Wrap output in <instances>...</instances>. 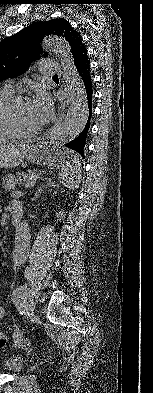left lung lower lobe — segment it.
Wrapping results in <instances>:
<instances>
[{
    "label": "left lung lower lobe",
    "mask_w": 153,
    "mask_h": 393,
    "mask_svg": "<svg viewBox=\"0 0 153 393\" xmlns=\"http://www.w3.org/2000/svg\"><path fill=\"white\" fill-rule=\"evenodd\" d=\"M75 66L79 72V75L81 77L84 91L86 93V98H87V103L88 107L91 110V99H92V84H91V78H90V69H89V64H88V59H87V52H83V54L79 55L78 58L76 59ZM87 124L84 128V130L80 133L78 137H76L73 141L65 144L64 146L68 149L74 150L77 153L83 155V149L85 145V140H86V135L87 131L89 128V119L91 117V111Z\"/></svg>",
    "instance_id": "0a47b994"
}]
</instances>
